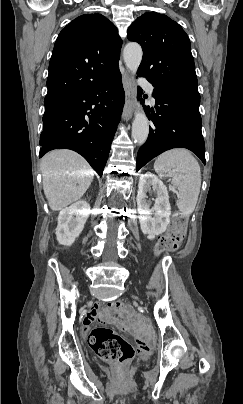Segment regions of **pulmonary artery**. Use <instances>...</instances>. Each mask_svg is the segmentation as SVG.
<instances>
[{
	"mask_svg": "<svg viewBox=\"0 0 243 404\" xmlns=\"http://www.w3.org/2000/svg\"><path fill=\"white\" fill-rule=\"evenodd\" d=\"M145 90L147 91V93L149 94V96H150V98H151V100H152V102H154V86H153V84H151V83H147V84H145Z\"/></svg>",
	"mask_w": 243,
	"mask_h": 404,
	"instance_id": "pulmonary-artery-1",
	"label": "pulmonary artery"
}]
</instances>
